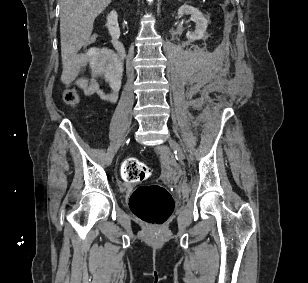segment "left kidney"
Returning a JSON list of instances; mask_svg holds the SVG:
<instances>
[{
    "mask_svg": "<svg viewBox=\"0 0 308 283\" xmlns=\"http://www.w3.org/2000/svg\"><path fill=\"white\" fill-rule=\"evenodd\" d=\"M177 14L181 16L184 14L191 15V20L196 24L194 32L188 31L186 34L189 40H199L204 37L207 29V19L198 9L189 5H182L178 9Z\"/></svg>",
    "mask_w": 308,
    "mask_h": 283,
    "instance_id": "obj_1",
    "label": "left kidney"
}]
</instances>
